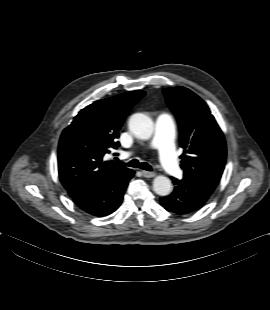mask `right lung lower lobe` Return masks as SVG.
Segmentation results:
<instances>
[{
    "mask_svg": "<svg viewBox=\"0 0 270 310\" xmlns=\"http://www.w3.org/2000/svg\"><path fill=\"white\" fill-rule=\"evenodd\" d=\"M133 175L134 171L126 168L96 184L68 190V194L83 211L94 216H107L120 206Z\"/></svg>",
    "mask_w": 270,
    "mask_h": 310,
    "instance_id": "obj_1",
    "label": "right lung lower lobe"
}]
</instances>
